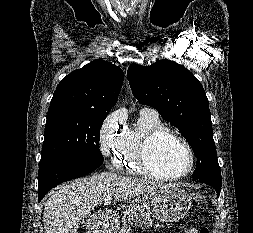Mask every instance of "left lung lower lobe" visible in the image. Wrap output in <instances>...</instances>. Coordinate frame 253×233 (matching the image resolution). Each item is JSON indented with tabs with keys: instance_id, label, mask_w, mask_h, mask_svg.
I'll return each instance as SVG.
<instances>
[{
	"instance_id": "0a47b994",
	"label": "left lung lower lobe",
	"mask_w": 253,
	"mask_h": 233,
	"mask_svg": "<svg viewBox=\"0 0 253 233\" xmlns=\"http://www.w3.org/2000/svg\"><path fill=\"white\" fill-rule=\"evenodd\" d=\"M199 181L212 186L216 190L217 196L220 195L222 181H215V180L206 179V178H201L199 179Z\"/></svg>"
}]
</instances>
